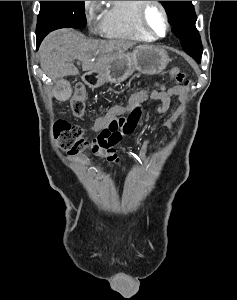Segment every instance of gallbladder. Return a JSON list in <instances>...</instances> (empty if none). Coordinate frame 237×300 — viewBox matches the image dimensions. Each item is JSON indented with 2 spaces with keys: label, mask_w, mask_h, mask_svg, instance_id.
Returning a JSON list of instances; mask_svg holds the SVG:
<instances>
[{
  "label": "gallbladder",
  "mask_w": 237,
  "mask_h": 300,
  "mask_svg": "<svg viewBox=\"0 0 237 300\" xmlns=\"http://www.w3.org/2000/svg\"><path fill=\"white\" fill-rule=\"evenodd\" d=\"M53 92L56 94L57 101H67V99L70 97V94L73 92L72 84L71 82H60L56 87H54Z\"/></svg>",
  "instance_id": "bac80fb5"
}]
</instances>
